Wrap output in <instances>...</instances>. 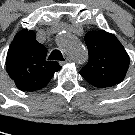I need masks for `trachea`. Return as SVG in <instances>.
<instances>
[{
	"label": "trachea",
	"mask_w": 135,
	"mask_h": 135,
	"mask_svg": "<svg viewBox=\"0 0 135 135\" xmlns=\"http://www.w3.org/2000/svg\"><path fill=\"white\" fill-rule=\"evenodd\" d=\"M48 60H60L64 61L63 55L59 50H53L48 57Z\"/></svg>",
	"instance_id": "trachea-1"
}]
</instances>
